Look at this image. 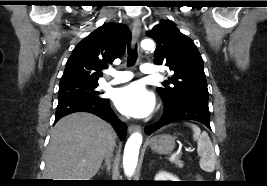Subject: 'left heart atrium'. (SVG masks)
<instances>
[{
    "label": "left heart atrium",
    "instance_id": "left-heart-atrium-1",
    "mask_svg": "<svg viewBox=\"0 0 267 186\" xmlns=\"http://www.w3.org/2000/svg\"><path fill=\"white\" fill-rule=\"evenodd\" d=\"M118 110L127 116L144 118L152 113L155 97L140 82H134L119 88L114 95Z\"/></svg>",
    "mask_w": 267,
    "mask_h": 186
}]
</instances>
